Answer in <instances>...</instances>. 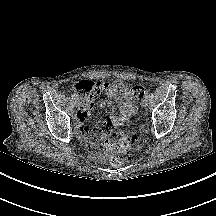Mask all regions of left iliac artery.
<instances>
[{"instance_id":"44dca946","label":"left iliac artery","mask_w":216,"mask_h":216,"mask_svg":"<svg viewBox=\"0 0 216 216\" xmlns=\"http://www.w3.org/2000/svg\"><path fill=\"white\" fill-rule=\"evenodd\" d=\"M149 97V94L147 93L146 95H145V98H148Z\"/></svg>"}]
</instances>
